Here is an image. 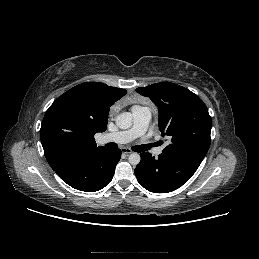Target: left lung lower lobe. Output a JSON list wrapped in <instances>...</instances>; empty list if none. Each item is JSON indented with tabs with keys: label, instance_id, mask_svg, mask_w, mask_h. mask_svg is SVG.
I'll return each mask as SVG.
<instances>
[{
	"label": "left lung lower lobe",
	"instance_id": "0a47b994",
	"mask_svg": "<svg viewBox=\"0 0 259 259\" xmlns=\"http://www.w3.org/2000/svg\"><path fill=\"white\" fill-rule=\"evenodd\" d=\"M201 160L188 156L161 153H141V161L134 170L141 186L153 193H168L186 183L196 172Z\"/></svg>",
	"mask_w": 259,
	"mask_h": 259
}]
</instances>
